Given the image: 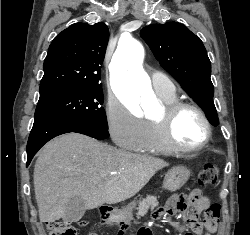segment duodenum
Instances as JSON below:
<instances>
[{"mask_svg": "<svg viewBox=\"0 0 250 235\" xmlns=\"http://www.w3.org/2000/svg\"><path fill=\"white\" fill-rule=\"evenodd\" d=\"M114 216V211L107 207H102L101 208V217H102V222L108 226L115 225V221L113 219Z\"/></svg>", "mask_w": 250, "mask_h": 235, "instance_id": "1", "label": "duodenum"}]
</instances>
